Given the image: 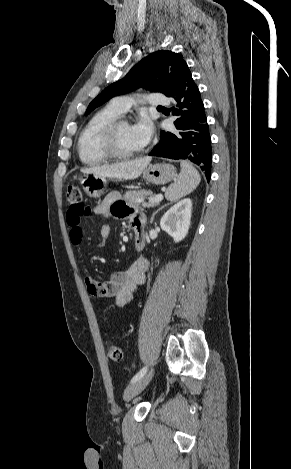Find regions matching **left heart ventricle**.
Masks as SVG:
<instances>
[{
  "instance_id": "left-heart-ventricle-1",
  "label": "left heart ventricle",
  "mask_w": 291,
  "mask_h": 469,
  "mask_svg": "<svg viewBox=\"0 0 291 469\" xmlns=\"http://www.w3.org/2000/svg\"><path fill=\"white\" fill-rule=\"evenodd\" d=\"M116 142L118 148L123 152H131L143 148L135 137L130 124H122L118 128Z\"/></svg>"
}]
</instances>
